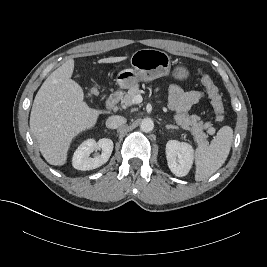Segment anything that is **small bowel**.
I'll return each instance as SVG.
<instances>
[{"label": "small bowel", "instance_id": "1", "mask_svg": "<svg viewBox=\"0 0 267 267\" xmlns=\"http://www.w3.org/2000/svg\"><path fill=\"white\" fill-rule=\"evenodd\" d=\"M203 97L202 91H185L180 85L173 84L169 88V107L178 113L186 112Z\"/></svg>", "mask_w": 267, "mask_h": 267}]
</instances>
